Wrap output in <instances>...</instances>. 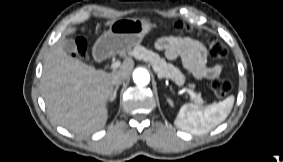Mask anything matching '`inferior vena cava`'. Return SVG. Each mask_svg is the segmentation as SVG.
<instances>
[{
	"label": "inferior vena cava",
	"instance_id": "inferior-vena-cava-1",
	"mask_svg": "<svg viewBox=\"0 0 283 162\" xmlns=\"http://www.w3.org/2000/svg\"><path fill=\"white\" fill-rule=\"evenodd\" d=\"M125 79V76L123 74H115L112 78V83L114 85H120Z\"/></svg>",
	"mask_w": 283,
	"mask_h": 162
}]
</instances>
